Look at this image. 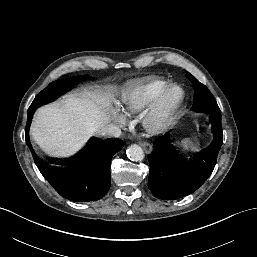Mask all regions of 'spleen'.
<instances>
[{
  "label": "spleen",
  "mask_w": 257,
  "mask_h": 257,
  "mask_svg": "<svg viewBox=\"0 0 257 257\" xmlns=\"http://www.w3.org/2000/svg\"><path fill=\"white\" fill-rule=\"evenodd\" d=\"M192 145V141L190 139H185L182 141V144L181 146L184 148V149H188L190 146Z\"/></svg>",
  "instance_id": "spleen-1"
}]
</instances>
